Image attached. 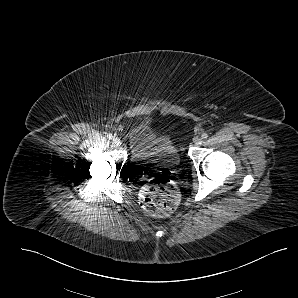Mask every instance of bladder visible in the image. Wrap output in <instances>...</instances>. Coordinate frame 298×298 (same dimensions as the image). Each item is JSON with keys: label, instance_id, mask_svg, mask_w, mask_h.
Listing matches in <instances>:
<instances>
[{"label": "bladder", "instance_id": "31cf9c89", "mask_svg": "<svg viewBox=\"0 0 298 298\" xmlns=\"http://www.w3.org/2000/svg\"><path fill=\"white\" fill-rule=\"evenodd\" d=\"M128 143L131 157L135 161L170 167L179 164V152L172 139L159 133L146 121H138L132 126Z\"/></svg>", "mask_w": 298, "mask_h": 298}]
</instances>
